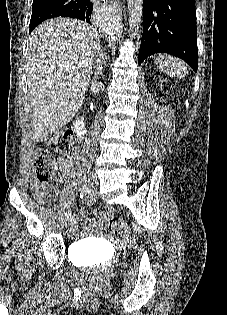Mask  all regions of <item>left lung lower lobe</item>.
<instances>
[{
    "label": "left lung lower lobe",
    "instance_id": "left-lung-lower-lobe-1",
    "mask_svg": "<svg viewBox=\"0 0 227 315\" xmlns=\"http://www.w3.org/2000/svg\"><path fill=\"white\" fill-rule=\"evenodd\" d=\"M139 65L154 53L183 59L197 72L195 0H143Z\"/></svg>",
    "mask_w": 227,
    "mask_h": 315
}]
</instances>
